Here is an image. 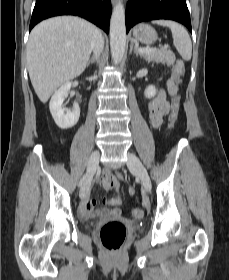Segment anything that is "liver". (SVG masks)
<instances>
[{
	"label": "liver",
	"mask_w": 229,
	"mask_h": 280,
	"mask_svg": "<svg viewBox=\"0 0 229 280\" xmlns=\"http://www.w3.org/2000/svg\"><path fill=\"white\" fill-rule=\"evenodd\" d=\"M94 31L90 22L73 16L50 18L33 28L27 45V68L42 103L85 70Z\"/></svg>",
	"instance_id": "liver-1"
}]
</instances>
